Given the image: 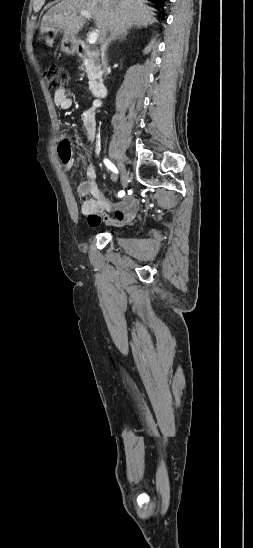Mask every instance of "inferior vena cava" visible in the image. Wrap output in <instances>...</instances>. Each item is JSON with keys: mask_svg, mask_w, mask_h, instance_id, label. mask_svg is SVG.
Returning a JSON list of instances; mask_svg holds the SVG:
<instances>
[{"mask_svg": "<svg viewBox=\"0 0 253 548\" xmlns=\"http://www.w3.org/2000/svg\"><path fill=\"white\" fill-rule=\"evenodd\" d=\"M101 56H102V67H103V74H104V78H106V75H107V70H108V66H107V62L104 58L105 56V51H106V33L104 34L103 38L101 39Z\"/></svg>", "mask_w": 253, "mask_h": 548, "instance_id": "inferior-vena-cava-1", "label": "inferior vena cava"}]
</instances>
